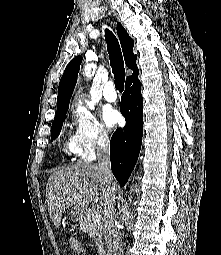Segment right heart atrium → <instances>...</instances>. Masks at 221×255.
Instances as JSON below:
<instances>
[{"label":"right heart atrium","mask_w":221,"mask_h":255,"mask_svg":"<svg viewBox=\"0 0 221 255\" xmlns=\"http://www.w3.org/2000/svg\"><path fill=\"white\" fill-rule=\"evenodd\" d=\"M72 124L75 139L81 149V155L89 158L95 151L106 145L108 134L98 121L94 112L84 105H76L72 110Z\"/></svg>","instance_id":"right-heart-atrium-1"}]
</instances>
